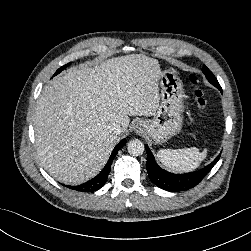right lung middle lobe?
<instances>
[{
    "instance_id": "dd1d6c3e",
    "label": "right lung middle lobe",
    "mask_w": 251,
    "mask_h": 251,
    "mask_svg": "<svg viewBox=\"0 0 251 251\" xmlns=\"http://www.w3.org/2000/svg\"><path fill=\"white\" fill-rule=\"evenodd\" d=\"M69 65H70V63H68V64L62 66L61 68H59V69L55 72V74H54L53 76L59 74L65 67H67V66H69Z\"/></svg>"
}]
</instances>
